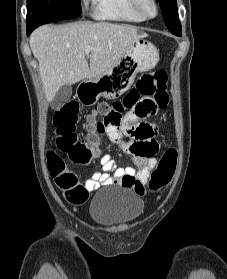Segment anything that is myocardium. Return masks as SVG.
<instances>
[{
	"mask_svg": "<svg viewBox=\"0 0 227 279\" xmlns=\"http://www.w3.org/2000/svg\"><path fill=\"white\" fill-rule=\"evenodd\" d=\"M132 1H133L134 8H135L136 12L138 13V15H139L142 19L150 20V19L155 18V17L158 15V5H157V1H156V0H149L150 3H151L152 6H153V9H154L153 14H151V15H150V14H147V13L143 10V7H142L143 0H132Z\"/></svg>",
	"mask_w": 227,
	"mask_h": 279,
	"instance_id": "obj_1",
	"label": "myocardium"
}]
</instances>
